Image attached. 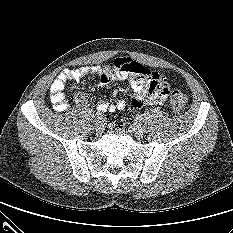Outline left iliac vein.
<instances>
[{
    "label": "left iliac vein",
    "mask_w": 233,
    "mask_h": 233,
    "mask_svg": "<svg viewBox=\"0 0 233 233\" xmlns=\"http://www.w3.org/2000/svg\"><path fill=\"white\" fill-rule=\"evenodd\" d=\"M130 132L134 134L136 137H142L143 136V128L139 124H133L130 126Z\"/></svg>",
    "instance_id": "4c4485c4"
}]
</instances>
